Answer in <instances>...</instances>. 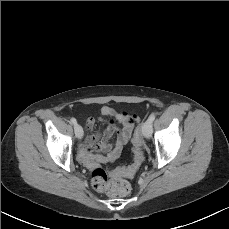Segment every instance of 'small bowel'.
I'll return each mask as SVG.
<instances>
[{"instance_id": "obj_1", "label": "small bowel", "mask_w": 229, "mask_h": 229, "mask_svg": "<svg viewBox=\"0 0 229 229\" xmlns=\"http://www.w3.org/2000/svg\"><path fill=\"white\" fill-rule=\"evenodd\" d=\"M101 115L112 118L109 127L102 133L86 136L85 139L78 145V160L88 168H96L100 164L114 161L120 155L123 146L130 139L132 130L139 120L135 115L128 113H117L115 110L108 106L101 108ZM115 122L122 126L120 131H117ZM85 124L87 129H92L95 124V119L89 117L86 119ZM116 133V141L114 145H111L109 140ZM95 149L104 154H93V150Z\"/></svg>"}]
</instances>
